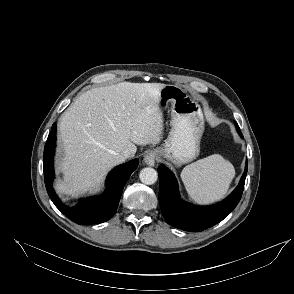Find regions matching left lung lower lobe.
I'll return each instance as SVG.
<instances>
[{
	"label": "left lung lower lobe",
	"instance_id": "1",
	"mask_svg": "<svg viewBox=\"0 0 294 294\" xmlns=\"http://www.w3.org/2000/svg\"><path fill=\"white\" fill-rule=\"evenodd\" d=\"M238 134L243 135L235 123ZM248 165L241 177L239 185L222 202L212 206L200 207L183 202L179 198L178 185L173 173L163 165L158 167L160 179L159 202L166 222L179 229L199 232L222 221L237 206L241 199Z\"/></svg>",
	"mask_w": 294,
	"mask_h": 294
}]
</instances>
